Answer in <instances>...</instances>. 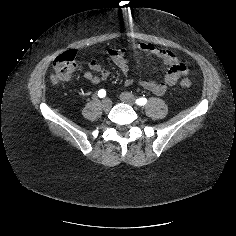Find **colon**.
<instances>
[{
    "mask_svg": "<svg viewBox=\"0 0 236 236\" xmlns=\"http://www.w3.org/2000/svg\"><path fill=\"white\" fill-rule=\"evenodd\" d=\"M80 65L76 61V53L68 51L58 56L53 64L52 81L55 84L69 81L75 73L80 70ZM179 86L183 89H189L191 82L188 79L181 80Z\"/></svg>",
    "mask_w": 236,
    "mask_h": 236,
    "instance_id": "colon-1",
    "label": "colon"
}]
</instances>
